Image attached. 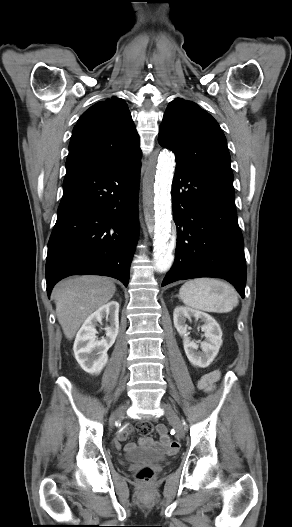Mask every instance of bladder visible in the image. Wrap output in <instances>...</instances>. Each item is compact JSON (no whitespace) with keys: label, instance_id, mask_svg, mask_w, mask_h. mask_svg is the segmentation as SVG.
<instances>
[{"label":"bladder","instance_id":"obj_1","mask_svg":"<svg viewBox=\"0 0 292 527\" xmlns=\"http://www.w3.org/2000/svg\"><path fill=\"white\" fill-rule=\"evenodd\" d=\"M125 462H165L167 457L151 450H133L125 455Z\"/></svg>","mask_w":292,"mask_h":527}]
</instances>
